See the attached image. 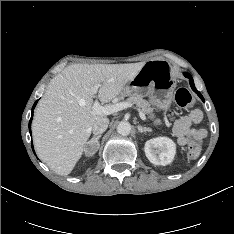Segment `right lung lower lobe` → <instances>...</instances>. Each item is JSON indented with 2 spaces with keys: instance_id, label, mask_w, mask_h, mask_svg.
<instances>
[{
  "instance_id": "98d812e1",
  "label": "right lung lower lobe",
  "mask_w": 234,
  "mask_h": 234,
  "mask_svg": "<svg viewBox=\"0 0 234 234\" xmlns=\"http://www.w3.org/2000/svg\"><path fill=\"white\" fill-rule=\"evenodd\" d=\"M36 104H37V101H36V102H35V104L33 105L32 110L35 108ZM32 113H33V111H32ZM32 117H33V114H32L31 119H30V121H29V131H30V132H31V122H32Z\"/></svg>"
}]
</instances>
